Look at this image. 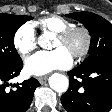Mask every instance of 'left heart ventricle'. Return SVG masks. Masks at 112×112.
Listing matches in <instances>:
<instances>
[{
  "mask_svg": "<svg viewBox=\"0 0 112 112\" xmlns=\"http://www.w3.org/2000/svg\"><path fill=\"white\" fill-rule=\"evenodd\" d=\"M84 43V39L81 35H77L74 38H72L68 42H63L60 39L56 38L53 48H65L71 55H74L82 46Z\"/></svg>",
  "mask_w": 112,
  "mask_h": 112,
  "instance_id": "obj_1",
  "label": "left heart ventricle"
}]
</instances>
